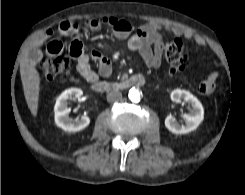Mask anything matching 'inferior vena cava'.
Instances as JSON below:
<instances>
[{
	"label": "inferior vena cava",
	"instance_id": "obj_1",
	"mask_svg": "<svg viewBox=\"0 0 245 195\" xmlns=\"http://www.w3.org/2000/svg\"><path fill=\"white\" fill-rule=\"evenodd\" d=\"M120 99H122V93L119 91L113 90L107 94L108 102H116V101H119Z\"/></svg>",
	"mask_w": 245,
	"mask_h": 195
}]
</instances>
